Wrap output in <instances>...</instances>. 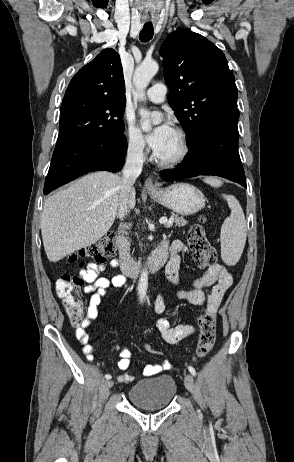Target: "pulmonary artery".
Here are the masks:
<instances>
[{"label": "pulmonary artery", "instance_id": "1", "mask_svg": "<svg viewBox=\"0 0 294 462\" xmlns=\"http://www.w3.org/2000/svg\"><path fill=\"white\" fill-rule=\"evenodd\" d=\"M167 87L163 83H156L146 91L147 98L154 103H161L165 100Z\"/></svg>", "mask_w": 294, "mask_h": 462}]
</instances>
